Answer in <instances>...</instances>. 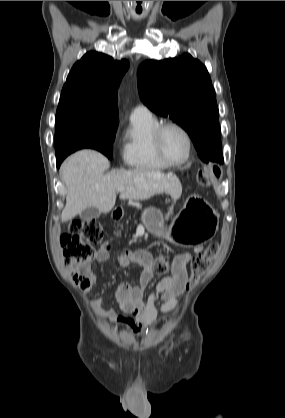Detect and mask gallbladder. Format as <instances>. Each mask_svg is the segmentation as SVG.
<instances>
[{
	"label": "gallbladder",
	"instance_id": "1",
	"mask_svg": "<svg viewBox=\"0 0 285 418\" xmlns=\"http://www.w3.org/2000/svg\"><path fill=\"white\" fill-rule=\"evenodd\" d=\"M101 211L94 206L88 207L80 213V218L83 221H90L92 219H96L100 216Z\"/></svg>",
	"mask_w": 285,
	"mask_h": 418
}]
</instances>
